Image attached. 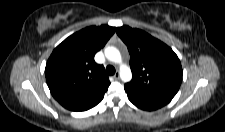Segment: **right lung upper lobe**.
Masks as SVG:
<instances>
[{"label":"right lung upper lobe","instance_id":"cb5924a9","mask_svg":"<svg viewBox=\"0 0 225 132\" xmlns=\"http://www.w3.org/2000/svg\"><path fill=\"white\" fill-rule=\"evenodd\" d=\"M115 30L108 25L87 27L52 52L45 68L46 81L52 96L66 109L85 111L103 99L110 82L94 56Z\"/></svg>","mask_w":225,"mask_h":132}]
</instances>
